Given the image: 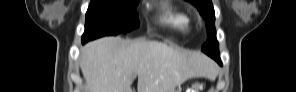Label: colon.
<instances>
[{
    "label": "colon",
    "instance_id": "1",
    "mask_svg": "<svg viewBox=\"0 0 296 92\" xmlns=\"http://www.w3.org/2000/svg\"><path fill=\"white\" fill-rule=\"evenodd\" d=\"M200 87V84L197 82L193 85L192 91H197V89Z\"/></svg>",
    "mask_w": 296,
    "mask_h": 92
}]
</instances>
